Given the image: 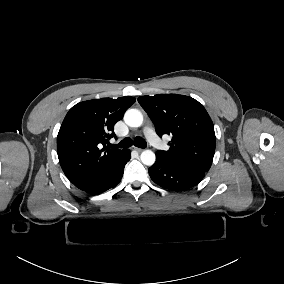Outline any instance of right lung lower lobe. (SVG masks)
<instances>
[{
	"label": "right lung lower lobe",
	"instance_id": "98d812e1",
	"mask_svg": "<svg viewBox=\"0 0 284 284\" xmlns=\"http://www.w3.org/2000/svg\"><path fill=\"white\" fill-rule=\"evenodd\" d=\"M130 157V150L126 149L119 159L81 190L91 195H98L115 187L121 181L125 164L130 160Z\"/></svg>",
	"mask_w": 284,
	"mask_h": 284
}]
</instances>
